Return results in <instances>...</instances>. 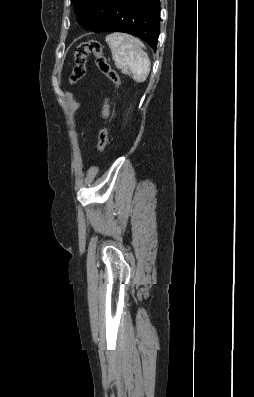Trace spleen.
Returning a JSON list of instances; mask_svg holds the SVG:
<instances>
[{"label":"spleen","mask_w":254,"mask_h":397,"mask_svg":"<svg viewBox=\"0 0 254 397\" xmlns=\"http://www.w3.org/2000/svg\"><path fill=\"white\" fill-rule=\"evenodd\" d=\"M115 66L137 83L144 82L149 75L151 63L144 44L126 33H113L106 37Z\"/></svg>","instance_id":"1"}]
</instances>
